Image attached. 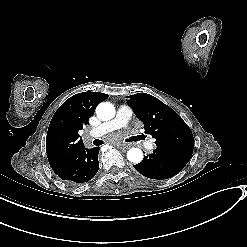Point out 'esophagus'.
Returning a JSON list of instances; mask_svg holds the SVG:
<instances>
[{
    "label": "esophagus",
    "instance_id": "1",
    "mask_svg": "<svg viewBox=\"0 0 247 247\" xmlns=\"http://www.w3.org/2000/svg\"><path fill=\"white\" fill-rule=\"evenodd\" d=\"M130 147H131L130 144H120V145L118 146V148H119L120 150H122V151H125V150L129 149Z\"/></svg>",
    "mask_w": 247,
    "mask_h": 247
}]
</instances>
